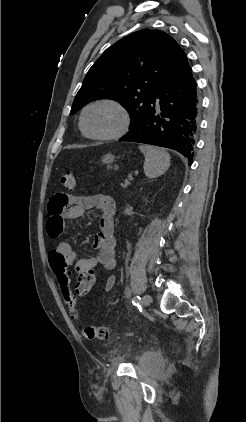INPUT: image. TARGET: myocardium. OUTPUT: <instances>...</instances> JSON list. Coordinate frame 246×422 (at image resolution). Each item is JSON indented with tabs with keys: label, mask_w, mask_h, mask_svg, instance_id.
Instances as JSON below:
<instances>
[{
	"label": "myocardium",
	"mask_w": 246,
	"mask_h": 422,
	"mask_svg": "<svg viewBox=\"0 0 246 422\" xmlns=\"http://www.w3.org/2000/svg\"><path fill=\"white\" fill-rule=\"evenodd\" d=\"M98 105H109V106L114 107L119 112L120 117H121V122H120L119 127L115 131L108 134L96 135V134L90 133L86 129L85 124H84L85 115L89 109ZM130 123H131V118H130V114L127 108L119 101L115 99H111V98H101V99H97L88 103L81 111V114L79 117V127L83 135L89 139L98 140V141H109V140L117 139L123 136L129 129Z\"/></svg>",
	"instance_id": "obj_1"
}]
</instances>
